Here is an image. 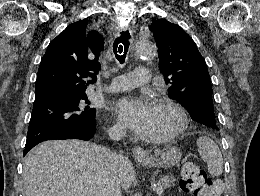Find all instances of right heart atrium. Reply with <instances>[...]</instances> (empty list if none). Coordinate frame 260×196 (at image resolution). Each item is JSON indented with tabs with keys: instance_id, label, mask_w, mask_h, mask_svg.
<instances>
[{
	"instance_id": "1",
	"label": "right heart atrium",
	"mask_w": 260,
	"mask_h": 196,
	"mask_svg": "<svg viewBox=\"0 0 260 196\" xmlns=\"http://www.w3.org/2000/svg\"><path fill=\"white\" fill-rule=\"evenodd\" d=\"M114 129H118V126L117 125H114L113 126ZM88 163V162H87ZM160 163V162H159Z\"/></svg>"
}]
</instances>
